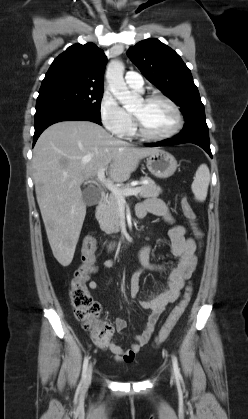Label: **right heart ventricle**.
I'll return each instance as SVG.
<instances>
[{"instance_id": "right-heart-ventricle-1", "label": "right heart ventricle", "mask_w": 248, "mask_h": 419, "mask_svg": "<svg viewBox=\"0 0 248 419\" xmlns=\"http://www.w3.org/2000/svg\"><path fill=\"white\" fill-rule=\"evenodd\" d=\"M135 135H136V132H135L134 125H133V123H131V126H130V128H129V130H128V133H127V135H126V136H128V137H133V136H135Z\"/></svg>"}]
</instances>
